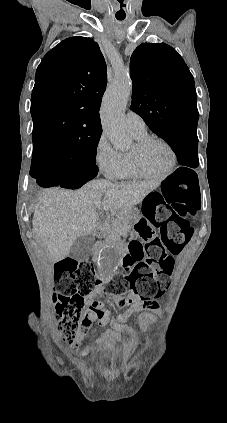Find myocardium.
I'll return each instance as SVG.
<instances>
[{
	"label": "myocardium",
	"instance_id": "f54148a6",
	"mask_svg": "<svg viewBox=\"0 0 227 423\" xmlns=\"http://www.w3.org/2000/svg\"><path fill=\"white\" fill-rule=\"evenodd\" d=\"M152 142H159L162 144L170 155V162L167 169L160 174H152L145 170L141 162L142 151ZM131 165L133 172L136 176L144 178L151 181H160L169 177L177 166L178 157L173 146L163 137L158 135H146L145 137L137 140L133 148L129 152Z\"/></svg>",
	"mask_w": 227,
	"mask_h": 423
}]
</instances>
